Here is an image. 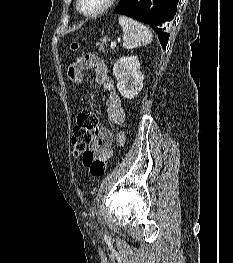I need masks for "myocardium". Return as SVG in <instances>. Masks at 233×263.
Instances as JSON below:
<instances>
[{"label": "myocardium", "mask_w": 233, "mask_h": 263, "mask_svg": "<svg viewBox=\"0 0 233 263\" xmlns=\"http://www.w3.org/2000/svg\"><path fill=\"white\" fill-rule=\"evenodd\" d=\"M81 1L82 0H76V8H77L78 12L85 17L92 18V17L99 16V15L105 13L106 11H108L115 4V2L117 0H105L104 4L99 9H97L93 12L84 11L81 7Z\"/></svg>", "instance_id": "f54148a6"}]
</instances>
